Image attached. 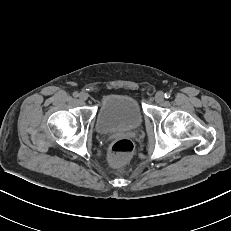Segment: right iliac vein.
Returning <instances> with one entry per match:
<instances>
[{
    "label": "right iliac vein",
    "mask_w": 231,
    "mask_h": 231,
    "mask_svg": "<svg viewBox=\"0 0 231 231\" xmlns=\"http://www.w3.org/2000/svg\"><path fill=\"white\" fill-rule=\"evenodd\" d=\"M79 99H80L81 101H86V100L88 99V94H87L86 92H81V93L79 94Z\"/></svg>",
    "instance_id": "right-iliac-vein-1"
}]
</instances>
